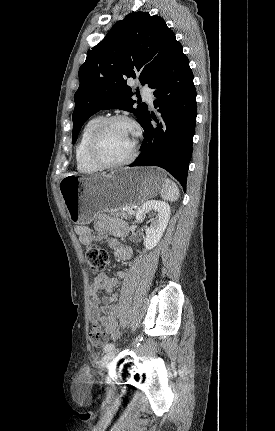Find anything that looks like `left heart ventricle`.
<instances>
[{"label":"left heart ventricle","mask_w":275,"mask_h":431,"mask_svg":"<svg viewBox=\"0 0 275 431\" xmlns=\"http://www.w3.org/2000/svg\"><path fill=\"white\" fill-rule=\"evenodd\" d=\"M133 144V129L126 123H113L100 140L98 154L108 162H119L131 154Z\"/></svg>","instance_id":"b2bd125f"}]
</instances>
